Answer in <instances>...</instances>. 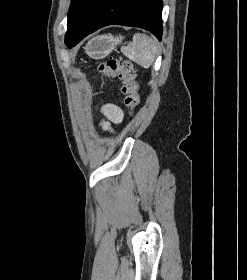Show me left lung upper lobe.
Returning <instances> with one entry per match:
<instances>
[{
	"label": "left lung upper lobe",
	"mask_w": 247,
	"mask_h": 280,
	"mask_svg": "<svg viewBox=\"0 0 247 280\" xmlns=\"http://www.w3.org/2000/svg\"><path fill=\"white\" fill-rule=\"evenodd\" d=\"M100 1L101 0H72L68 12L67 32L65 37H70L78 32L91 10Z\"/></svg>",
	"instance_id": "left-lung-upper-lobe-1"
}]
</instances>
